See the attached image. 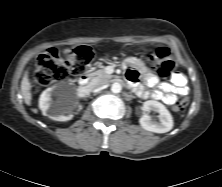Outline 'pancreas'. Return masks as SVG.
Segmentation results:
<instances>
[{"label":"pancreas","mask_w":222,"mask_h":187,"mask_svg":"<svg viewBox=\"0 0 222 187\" xmlns=\"http://www.w3.org/2000/svg\"><path fill=\"white\" fill-rule=\"evenodd\" d=\"M92 76H97V77L104 78V79H110V78L113 77V75H110V74L106 73L104 68L93 72Z\"/></svg>","instance_id":"pancreas-1"}]
</instances>
